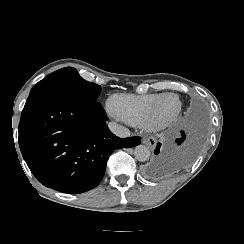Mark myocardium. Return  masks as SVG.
<instances>
[{"instance_id": "1", "label": "myocardium", "mask_w": 244, "mask_h": 244, "mask_svg": "<svg viewBox=\"0 0 244 244\" xmlns=\"http://www.w3.org/2000/svg\"><path fill=\"white\" fill-rule=\"evenodd\" d=\"M166 97H173L176 100V106L175 108L171 111V113L169 114V116L167 117H160L158 118L156 121L153 122V127H155L156 129H163L165 127H167L177 116V114L179 113L180 109H181V101L180 98L172 92H167V93H163L159 96H157L156 100H155V104L153 107V115L152 117L159 112L160 114L162 113V109H161V102L164 98Z\"/></svg>"}]
</instances>
